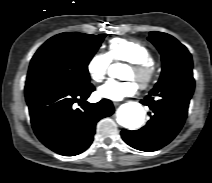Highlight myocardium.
I'll use <instances>...</instances> for the list:
<instances>
[{
  "mask_svg": "<svg viewBox=\"0 0 212 183\" xmlns=\"http://www.w3.org/2000/svg\"><path fill=\"white\" fill-rule=\"evenodd\" d=\"M129 67L138 77L137 85L139 88L146 89L151 85L156 74L154 64L150 62H132L129 63Z\"/></svg>",
  "mask_w": 212,
  "mask_h": 183,
  "instance_id": "f54148a6",
  "label": "myocardium"
}]
</instances>
